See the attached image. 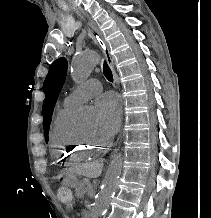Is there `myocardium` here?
I'll return each mask as SVG.
<instances>
[{
	"instance_id": "obj_1",
	"label": "myocardium",
	"mask_w": 211,
	"mask_h": 218,
	"mask_svg": "<svg viewBox=\"0 0 211 218\" xmlns=\"http://www.w3.org/2000/svg\"><path fill=\"white\" fill-rule=\"evenodd\" d=\"M84 138L88 141V142H96V138L94 135H89V134H83Z\"/></svg>"
}]
</instances>
